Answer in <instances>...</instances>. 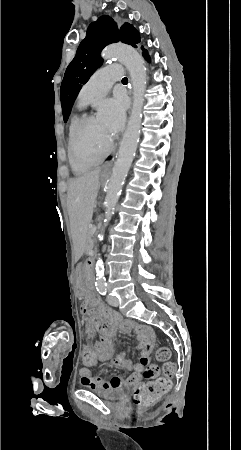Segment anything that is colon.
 <instances>
[{
  "label": "colon",
  "instance_id": "1",
  "mask_svg": "<svg viewBox=\"0 0 241 450\" xmlns=\"http://www.w3.org/2000/svg\"><path fill=\"white\" fill-rule=\"evenodd\" d=\"M83 359L84 366H97L98 358L94 357L95 353L90 347L86 350H82L80 353ZM170 356V351L166 347H160L157 349V358L159 360H167ZM165 373L171 375L175 370V362L168 360L164 366ZM159 374V368L156 364H150L145 367L143 376L146 380H152ZM169 382L165 378H160L154 382L143 384L138 387L133 394V406L137 410H147L151 408L162 396L163 393L168 391Z\"/></svg>",
  "mask_w": 241,
  "mask_h": 450
}]
</instances>
